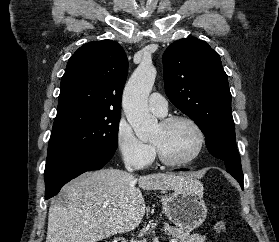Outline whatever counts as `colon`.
Returning a JSON list of instances; mask_svg holds the SVG:
<instances>
[{
    "instance_id": "obj_1",
    "label": "colon",
    "mask_w": 279,
    "mask_h": 242,
    "mask_svg": "<svg viewBox=\"0 0 279 242\" xmlns=\"http://www.w3.org/2000/svg\"><path fill=\"white\" fill-rule=\"evenodd\" d=\"M215 229L218 233L224 234L227 231V223L223 220H218L215 223ZM100 242H108V241L103 240V241H100Z\"/></svg>"
}]
</instances>
